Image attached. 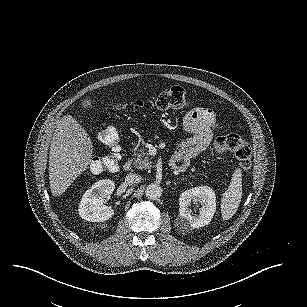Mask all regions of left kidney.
Here are the masks:
<instances>
[{
  "instance_id": "5707ae66",
  "label": "left kidney",
  "mask_w": 307,
  "mask_h": 307,
  "mask_svg": "<svg viewBox=\"0 0 307 307\" xmlns=\"http://www.w3.org/2000/svg\"><path fill=\"white\" fill-rule=\"evenodd\" d=\"M194 200L202 203L200 214H193L191 204ZM216 212V193L208 185L195 186L182 192L179 197V213L184 228H198L211 223Z\"/></svg>"
}]
</instances>
